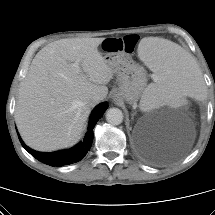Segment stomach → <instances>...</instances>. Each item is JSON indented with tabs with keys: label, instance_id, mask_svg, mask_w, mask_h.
<instances>
[{
	"label": "stomach",
	"instance_id": "1",
	"mask_svg": "<svg viewBox=\"0 0 215 215\" xmlns=\"http://www.w3.org/2000/svg\"><path fill=\"white\" fill-rule=\"evenodd\" d=\"M104 59L117 77L118 88L114 94L115 98L134 104L146 85L144 68L123 51L106 52Z\"/></svg>",
	"mask_w": 215,
	"mask_h": 215
}]
</instances>
